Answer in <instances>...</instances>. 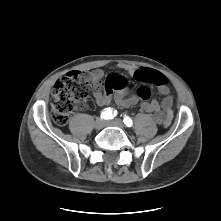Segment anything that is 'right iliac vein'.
<instances>
[{"label":"right iliac vein","instance_id":"63e3f726","mask_svg":"<svg viewBox=\"0 0 221 221\" xmlns=\"http://www.w3.org/2000/svg\"><path fill=\"white\" fill-rule=\"evenodd\" d=\"M105 126V121L102 118H97L94 123V127L97 130L103 129Z\"/></svg>","mask_w":221,"mask_h":221}]
</instances>
